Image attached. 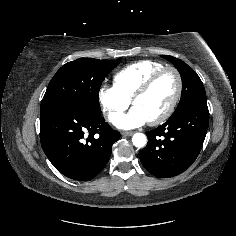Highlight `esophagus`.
<instances>
[{"label": "esophagus", "mask_w": 236, "mask_h": 236, "mask_svg": "<svg viewBox=\"0 0 236 236\" xmlns=\"http://www.w3.org/2000/svg\"><path fill=\"white\" fill-rule=\"evenodd\" d=\"M123 136H131L133 135V132L132 131H124L121 133Z\"/></svg>", "instance_id": "1"}]
</instances>
